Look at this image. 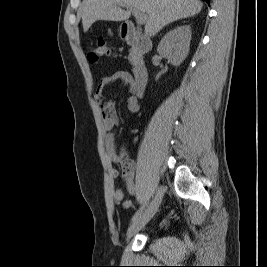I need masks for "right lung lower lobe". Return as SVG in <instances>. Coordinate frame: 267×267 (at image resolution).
Returning a JSON list of instances; mask_svg holds the SVG:
<instances>
[{
    "label": "right lung lower lobe",
    "instance_id": "obj_1",
    "mask_svg": "<svg viewBox=\"0 0 267 267\" xmlns=\"http://www.w3.org/2000/svg\"><path fill=\"white\" fill-rule=\"evenodd\" d=\"M209 4V0H205Z\"/></svg>",
    "mask_w": 267,
    "mask_h": 267
}]
</instances>
